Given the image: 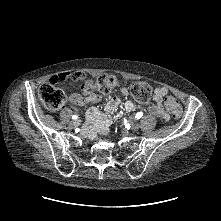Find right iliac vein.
I'll return each instance as SVG.
<instances>
[{
  "instance_id": "63e3f726",
  "label": "right iliac vein",
  "mask_w": 221,
  "mask_h": 221,
  "mask_svg": "<svg viewBox=\"0 0 221 221\" xmlns=\"http://www.w3.org/2000/svg\"><path fill=\"white\" fill-rule=\"evenodd\" d=\"M79 124H80V121H79V120H75V121H72V122L70 123V126H71L72 128H75V127H77Z\"/></svg>"
}]
</instances>
